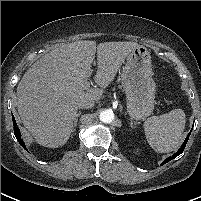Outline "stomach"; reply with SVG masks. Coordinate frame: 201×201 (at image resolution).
I'll return each mask as SVG.
<instances>
[{
    "label": "stomach",
    "mask_w": 201,
    "mask_h": 201,
    "mask_svg": "<svg viewBox=\"0 0 201 201\" xmlns=\"http://www.w3.org/2000/svg\"><path fill=\"white\" fill-rule=\"evenodd\" d=\"M121 78L130 117L135 120L147 118L154 109L155 83L151 55L146 47L138 46L129 53Z\"/></svg>",
    "instance_id": "1"
}]
</instances>
